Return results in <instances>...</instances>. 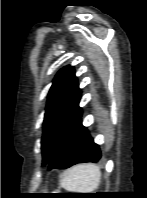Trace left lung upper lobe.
I'll return each instance as SVG.
<instances>
[{
	"label": "left lung upper lobe",
	"mask_w": 147,
	"mask_h": 198,
	"mask_svg": "<svg viewBox=\"0 0 147 198\" xmlns=\"http://www.w3.org/2000/svg\"><path fill=\"white\" fill-rule=\"evenodd\" d=\"M80 97L81 90L73 67L62 68L48 94L41 141L43 165L49 162L58 143L80 117Z\"/></svg>",
	"instance_id": "left-lung-upper-lobe-1"
}]
</instances>
